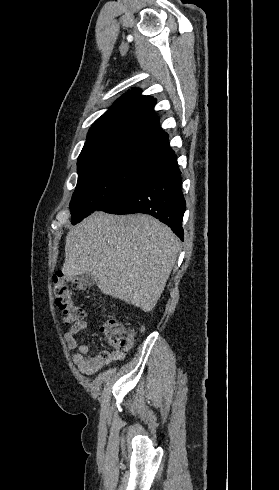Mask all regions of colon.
<instances>
[{
  "instance_id": "5ec220e1",
  "label": "colon",
  "mask_w": 279,
  "mask_h": 490,
  "mask_svg": "<svg viewBox=\"0 0 279 490\" xmlns=\"http://www.w3.org/2000/svg\"><path fill=\"white\" fill-rule=\"evenodd\" d=\"M72 284L80 291L85 290L81 281L68 275L57 274L52 280L53 296L62 309V322L65 324L81 321L85 317V310L75 303ZM136 335L134 329L125 328L114 321H110L109 329L103 330V337L108 338L110 346L118 354L126 353L133 347Z\"/></svg>"
}]
</instances>
